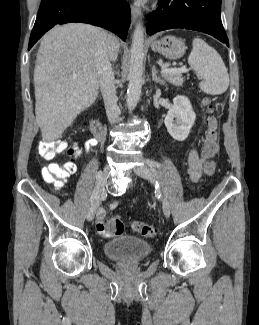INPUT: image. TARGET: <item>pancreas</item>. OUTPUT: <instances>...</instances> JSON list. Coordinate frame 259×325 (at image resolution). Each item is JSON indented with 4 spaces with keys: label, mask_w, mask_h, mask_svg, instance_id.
Listing matches in <instances>:
<instances>
[{
    "label": "pancreas",
    "mask_w": 259,
    "mask_h": 325,
    "mask_svg": "<svg viewBox=\"0 0 259 325\" xmlns=\"http://www.w3.org/2000/svg\"><path fill=\"white\" fill-rule=\"evenodd\" d=\"M162 77L168 81L169 83H171L174 86H182L183 85V77H182V73H162Z\"/></svg>",
    "instance_id": "pancreas-1"
}]
</instances>
